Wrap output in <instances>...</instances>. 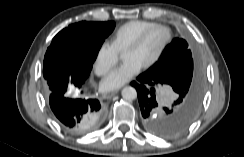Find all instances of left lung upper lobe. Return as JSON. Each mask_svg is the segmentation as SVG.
<instances>
[{
  "label": "left lung upper lobe",
  "mask_w": 244,
  "mask_h": 157,
  "mask_svg": "<svg viewBox=\"0 0 244 157\" xmlns=\"http://www.w3.org/2000/svg\"><path fill=\"white\" fill-rule=\"evenodd\" d=\"M146 72L162 77L177 94L183 93L186 97L200 93L203 87L202 77L184 39L176 38L167 45L158 61Z\"/></svg>",
  "instance_id": "left-lung-upper-lobe-1"
}]
</instances>
